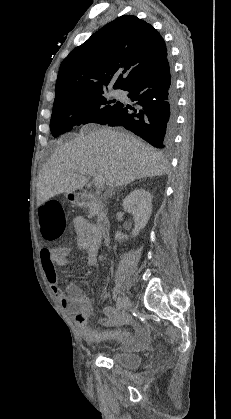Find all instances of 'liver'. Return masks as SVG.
<instances>
[{
  "label": "liver",
  "mask_w": 231,
  "mask_h": 419,
  "mask_svg": "<svg viewBox=\"0 0 231 419\" xmlns=\"http://www.w3.org/2000/svg\"><path fill=\"white\" fill-rule=\"evenodd\" d=\"M85 131L59 146L43 166L37 180V205L82 189L88 181L79 173L83 169L102 175L109 189L168 172L162 153L131 134L111 128Z\"/></svg>",
  "instance_id": "liver-1"
}]
</instances>
